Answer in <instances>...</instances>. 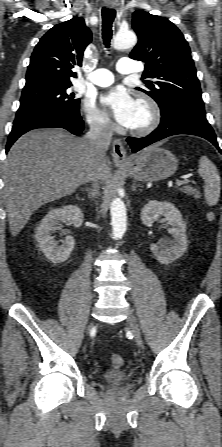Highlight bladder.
<instances>
[{"label":"bladder","mask_w":222,"mask_h":447,"mask_svg":"<svg viewBox=\"0 0 222 447\" xmlns=\"http://www.w3.org/2000/svg\"><path fill=\"white\" fill-rule=\"evenodd\" d=\"M104 382L111 388H122L128 384L131 375L125 371H110L102 376Z\"/></svg>","instance_id":"obj_1"}]
</instances>
